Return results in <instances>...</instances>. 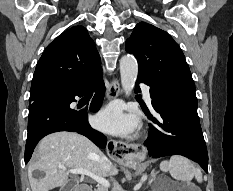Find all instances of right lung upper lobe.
Here are the masks:
<instances>
[{
  "mask_svg": "<svg viewBox=\"0 0 233 191\" xmlns=\"http://www.w3.org/2000/svg\"><path fill=\"white\" fill-rule=\"evenodd\" d=\"M102 73L101 60L86 28L75 26L52 41L39 59L31 91L41 87L72 88Z\"/></svg>",
  "mask_w": 233,
  "mask_h": 191,
  "instance_id": "right-lung-upper-lobe-1",
  "label": "right lung upper lobe"
}]
</instances>
